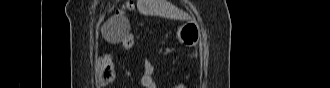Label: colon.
I'll list each match as a JSON object with an SVG mask.
<instances>
[{"label":"colon","mask_w":330,"mask_h":88,"mask_svg":"<svg viewBox=\"0 0 330 88\" xmlns=\"http://www.w3.org/2000/svg\"><path fill=\"white\" fill-rule=\"evenodd\" d=\"M132 6L131 1H127L123 5V10H129ZM121 45L125 49H130L134 45V37L132 35L124 36L121 39ZM116 78V71L113 64V61L108 56H103L100 61L99 67V80L102 85H107L112 83Z\"/></svg>","instance_id":"1"}]
</instances>
